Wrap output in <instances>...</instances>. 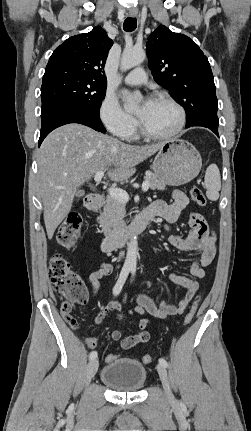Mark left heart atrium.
<instances>
[{
	"mask_svg": "<svg viewBox=\"0 0 251 431\" xmlns=\"http://www.w3.org/2000/svg\"><path fill=\"white\" fill-rule=\"evenodd\" d=\"M151 102L152 101H146L145 103H144V108H147V107H149L150 106V104H151Z\"/></svg>",
	"mask_w": 251,
	"mask_h": 431,
	"instance_id": "39dd6f15",
	"label": "left heart atrium"
}]
</instances>
